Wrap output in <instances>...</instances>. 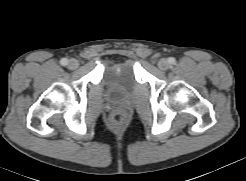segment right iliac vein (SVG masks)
<instances>
[{"label":"right iliac vein","instance_id":"obj_1","mask_svg":"<svg viewBox=\"0 0 246 181\" xmlns=\"http://www.w3.org/2000/svg\"><path fill=\"white\" fill-rule=\"evenodd\" d=\"M78 66H79V62H78V60H76V59H70L69 61H68V68L69 69H76V68H78Z\"/></svg>","mask_w":246,"mask_h":181}]
</instances>
